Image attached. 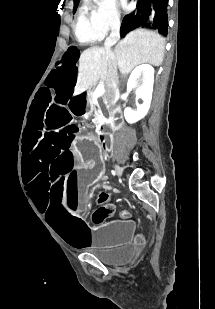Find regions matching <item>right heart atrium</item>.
I'll return each instance as SVG.
<instances>
[{
  "instance_id": "1",
  "label": "right heart atrium",
  "mask_w": 215,
  "mask_h": 309,
  "mask_svg": "<svg viewBox=\"0 0 215 309\" xmlns=\"http://www.w3.org/2000/svg\"><path fill=\"white\" fill-rule=\"evenodd\" d=\"M101 7L95 11L92 18V25L98 29L101 37L116 33L121 26V17L116 0H101L98 2Z\"/></svg>"
}]
</instances>
